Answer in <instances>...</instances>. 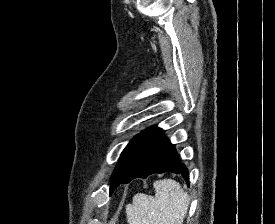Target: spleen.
Instances as JSON below:
<instances>
[{
  "mask_svg": "<svg viewBox=\"0 0 275 224\" xmlns=\"http://www.w3.org/2000/svg\"><path fill=\"white\" fill-rule=\"evenodd\" d=\"M155 196L138 193L127 205L129 224H183L190 198L181 185L172 179L153 184Z\"/></svg>",
  "mask_w": 275,
  "mask_h": 224,
  "instance_id": "obj_1",
  "label": "spleen"
}]
</instances>
